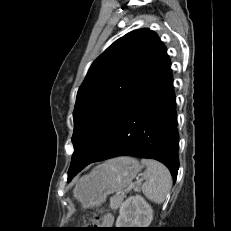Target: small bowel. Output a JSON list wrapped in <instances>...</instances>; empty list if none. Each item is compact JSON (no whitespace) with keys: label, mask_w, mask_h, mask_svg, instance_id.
I'll return each mask as SVG.
<instances>
[{"label":"small bowel","mask_w":231,"mask_h":231,"mask_svg":"<svg viewBox=\"0 0 231 231\" xmlns=\"http://www.w3.org/2000/svg\"><path fill=\"white\" fill-rule=\"evenodd\" d=\"M112 226H113V217L111 215H107L104 218L103 223L101 225V227L103 228L102 231H107V229H109Z\"/></svg>","instance_id":"small-bowel-1"}]
</instances>
